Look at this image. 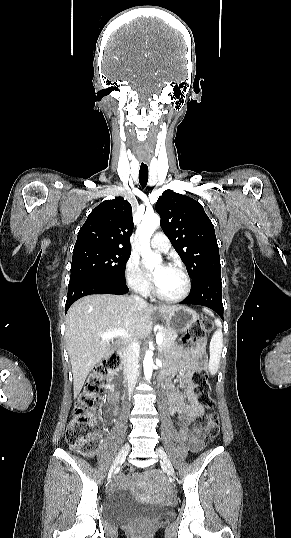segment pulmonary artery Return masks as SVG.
Masks as SVG:
<instances>
[{"mask_svg":"<svg viewBox=\"0 0 291 538\" xmlns=\"http://www.w3.org/2000/svg\"><path fill=\"white\" fill-rule=\"evenodd\" d=\"M150 244L154 249L160 252H168L171 246L169 239L162 232L156 233L153 236Z\"/></svg>","mask_w":291,"mask_h":538,"instance_id":"obj_1","label":"pulmonary artery"}]
</instances>
